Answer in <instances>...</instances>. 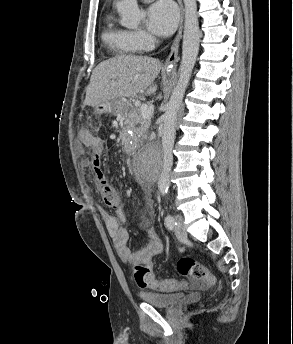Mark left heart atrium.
<instances>
[{"mask_svg":"<svg viewBox=\"0 0 293 344\" xmlns=\"http://www.w3.org/2000/svg\"><path fill=\"white\" fill-rule=\"evenodd\" d=\"M178 12L170 0H160L147 10L146 25L158 36H169L176 28Z\"/></svg>","mask_w":293,"mask_h":344,"instance_id":"obj_1","label":"left heart atrium"}]
</instances>
